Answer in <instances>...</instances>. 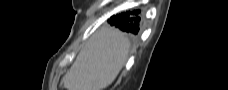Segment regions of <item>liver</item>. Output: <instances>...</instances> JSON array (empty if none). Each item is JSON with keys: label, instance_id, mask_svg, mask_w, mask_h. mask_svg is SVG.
I'll list each match as a JSON object with an SVG mask.
<instances>
[{"label": "liver", "instance_id": "1", "mask_svg": "<svg viewBox=\"0 0 228 90\" xmlns=\"http://www.w3.org/2000/svg\"><path fill=\"white\" fill-rule=\"evenodd\" d=\"M129 46L119 30L101 28L81 49L61 83L66 90H103L124 66Z\"/></svg>", "mask_w": 228, "mask_h": 90}]
</instances>
